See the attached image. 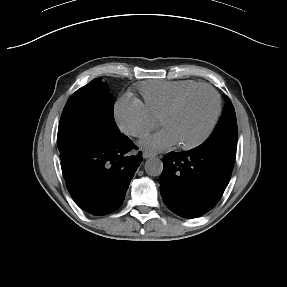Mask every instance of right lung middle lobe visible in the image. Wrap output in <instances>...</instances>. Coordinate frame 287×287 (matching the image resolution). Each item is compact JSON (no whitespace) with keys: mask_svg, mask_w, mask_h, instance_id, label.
I'll list each match as a JSON object with an SVG mask.
<instances>
[{"mask_svg":"<svg viewBox=\"0 0 287 287\" xmlns=\"http://www.w3.org/2000/svg\"><path fill=\"white\" fill-rule=\"evenodd\" d=\"M113 106L108 86L99 78L68 99L57 135L61 160L77 150L102 144L121 134L114 121Z\"/></svg>","mask_w":287,"mask_h":287,"instance_id":"dd1d6c3e","label":"right lung middle lobe"}]
</instances>
